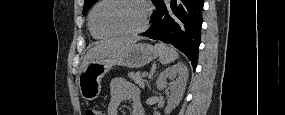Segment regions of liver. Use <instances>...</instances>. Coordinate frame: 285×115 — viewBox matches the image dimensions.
Wrapping results in <instances>:
<instances>
[{
    "mask_svg": "<svg viewBox=\"0 0 285 115\" xmlns=\"http://www.w3.org/2000/svg\"><path fill=\"white\" fill-rule=\"evenodd\" d=\"M137 38H120L117 40H107L100 42L90 48L80 66L81 71L91 62L108 57L117 56L126 51L131 45L136 43Z\"/></svg>",
    "mask_w": 285,
    "mask_h": 115,
    "instance_id": "obj_1",
    "label": "liver"
}]
</instances>
